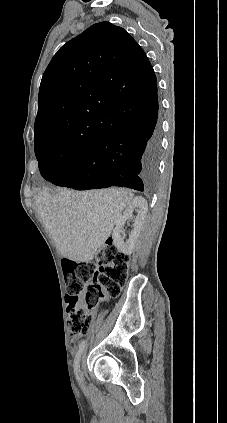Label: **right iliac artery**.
I'll return each instance as SVG.
<instances>
[{
    "label": "right iliac artery",
    "instance_id": "obj_1",
    "mask_svg": "<svg viewBox=\"0 0 227 423\" xmlns=\"http://www.w3.org/2000/svg\"><path fill=\"white\" fill-rule=\"evenodd\" d=\"M85 344H86L85 340H83L80 343L78 352H77V354L75 356V359H74V365H73L76 379H77V381L79 382L80 385H81V378H80V357H81L82 351H83V349L85 347Z\"/></svg>",
    "mask_w": 227,
    "mask_h": 423
}]
</instances>
